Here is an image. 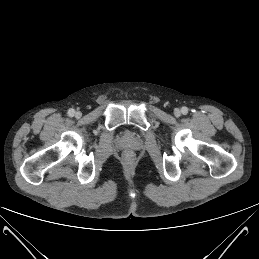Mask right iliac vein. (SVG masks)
Listing matches in <instances>:
<instances>
[{
    "label": "right iliac vein",
    "mask_w": 259,
    "mask_h": 259,
    "mask_svg": "<svg viewBox=\"0 0 259 259\" xmlns=\"http://www.w3.org/2000/svg\"><path fill=\"white\" fill-rule=\"evenodd\" d=\"M81 115H82V113H81L80 111H77V112L75 113V117H76V118H80Z\"/></svg>",
    "instance_id": "63e3f726"
}]
</instances>
